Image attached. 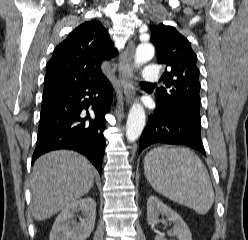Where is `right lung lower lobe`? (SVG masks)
<instances>
[{"label":"right lung lower lobe","instance_id":"1","mask_svg":"<svg viewBox=\"0 0 248 240\" xmlns=\"http://www.w3.org/2000/svg\"><path fill=\"white\" fill-rule=\"evenodd\" d=\"M112 90V85L104 78L43 95L32 162L48 151L71 149L85 155L101 174L105 115L111 107Z\"/></svg>","mask_w":248,"mask_h":240}]
</instances>
